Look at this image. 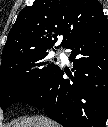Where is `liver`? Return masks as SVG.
Returning <instances> with one entry per match:
<instances>
[{"label":"liver","mask_w":108,"mask_h":127,"mask_svg":"<svg viewBox=\"0 0 108 127\" xmlns=\"http://www.w3.org/2000/svg\"><path fill=\"white\" fill-rule=\"evenodd\" d=\"M14 127H60L56 122L44 116H31L23 118Z\"/></svg>","instance_id":"liver-1"}]
</instances>
